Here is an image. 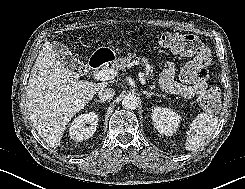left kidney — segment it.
I'll return each mask as SVG.
<instances>
[{
    "label": "left kidney",
    "instance_id": "left-kidney-1",
    "mask_svg": "<svg viewBox=\"0 0 245 189\" xmlns=\"http://www.w3.org/2000/svg\"><path fill=\"white\" fill-rule=\"evenodd\" d=\"M151 117L154 128L166 136H172L180 122V116L169 108L154 107Z\"/></svg>",
    "mask_w": 245,
    "mask_h": 189
}]
</instances>
